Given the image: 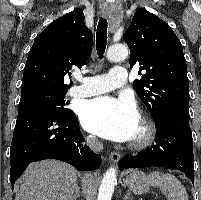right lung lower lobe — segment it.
<instances>
[{"instance_id": "right-lung-lower-lobe-1", "label": "right lung lower lobe", "mask_w": 201, "mask_h": 200, "mask_svg": "<svg viewBox=\"0 0 201 200\" xmlns=\"http://www.w3.org/2000/svg\"><path fill=\"white\" fill-rule=\"evenodd\" d=\"M84 137L73 111L61 113L39 107L18 112L10 149L11 185L34 162L48 158L67 162L81 171H92L101 156L83 145Z\"/></svg>"}]
</instances>
